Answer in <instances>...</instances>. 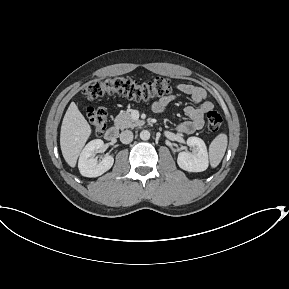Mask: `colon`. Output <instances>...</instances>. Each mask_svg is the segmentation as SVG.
Segmentation results:
<instances>
[{
  "label": "colon",
  "instance_id": "colon-1",
  "mask_svg": "<svg viewBox=\"0 0 289 289\" xmlns=\"http://www.w3.org/2000/svg\"><path fill=\"white\" fill-rule=\"evenodd\" d=\"M169 79L156 77L151 81L140 82L129 77L117 76L105 80L93 81L83 88V94L90 100L104 95L119 94L137 101H150L172 92ZM89 122L97 136L103 134L107 127V112L102 107H90L87 110ZM223 119L217 111L207 113V127L216 132L220 129Z\"/></svg>",
  "mask_w": 289,
  "mask_h": 289
}]
</instances>
